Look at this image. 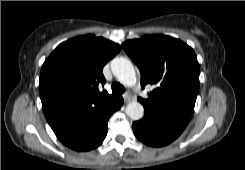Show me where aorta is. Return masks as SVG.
Wrapping results in <instances>:
<instances>
[{
  "mask_svg": "<svg viewBox=\"0 0 245 170\" xmlns=\"http://www.w3.org/2000/svg\"><path fill=\"white\" fill-rule=\"evenodd\" d=\"M111 70L118 81L125 86L136 83V73L133 64L126 58L118 57L112 60ZM126 114L132 120H140L144 115V108L138 101L129 102L126 106Z\"/></svg>",
  "mask_w": 245,
  "mask_h": 170,
  "instance_id": "1",
  "label": "aorta"
}]
</instances>
